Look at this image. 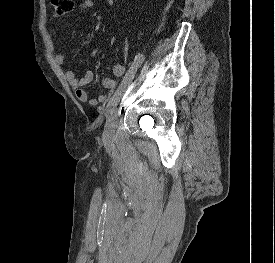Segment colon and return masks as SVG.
I'll list each match as a JSON object with an SVG mask.
<instances>
[{
	"label": "colon",
	"instance_id": "colon-1",
	"mask_svg": "<svg viewBox=\"0 0 275 263\" xmlns=\"http://www.w3.org/2000/svg\"><path fill=\"white\" fill-rule=\"evenodd\" d=\"M50 5L56 16H63L73 10L74 0H50Z\"/></svg>",
	"mask_w": 275,
	"mask_h": 263
}]
</instances>
